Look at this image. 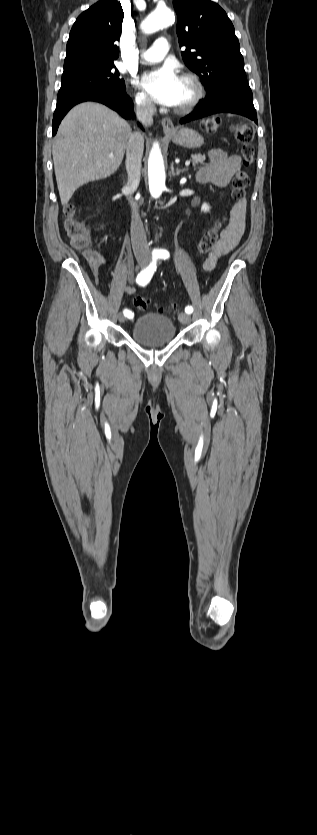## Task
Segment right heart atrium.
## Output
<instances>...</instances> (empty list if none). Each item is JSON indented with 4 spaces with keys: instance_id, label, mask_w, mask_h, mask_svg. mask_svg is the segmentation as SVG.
<instances>
[{
    "instance_id": "1",
    "label": "right heart atrium",
    "mask_w": 317,
    "mask_h": 835,
    "mask_svg": "<svg viewBox=\"0 0 317 835\" xmlns=\"http://www.w3.org/2000/svg\"><path fill=\"white\" fill-rule=\"evenodd\" d=\"M134 102L137 110L141 113H150L153 110L154 106L151 100L143 92H134Z\"/></svg>"
}]
</instances>
